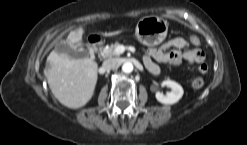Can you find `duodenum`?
Listing matches in <instances>:
<instances>
[{"instance_id":"duodenum-1","label":"duodenum","mask_w":247,"mask_h":145,"mask_svg":"<svg viewBox=\"0 0 247 145\" xmlns=\"http://www.w3.org/2000/svg\"><path fill=\"white\" fill-rule=\"evenodd\" d=\"M101 40L99 37L94 36L88 42V51L92 54L96 53L100 46Z\"/></svg>"}]
</instances>
